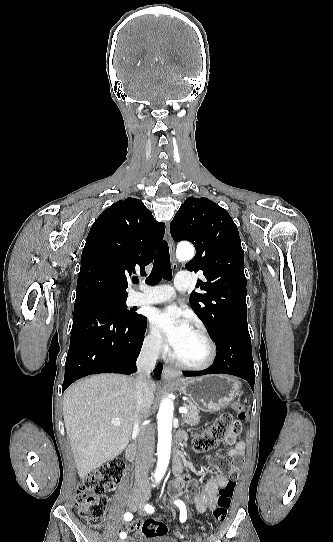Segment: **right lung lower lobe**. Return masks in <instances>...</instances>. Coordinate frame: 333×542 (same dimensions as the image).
I'll use <instances>...</instances> for the list:
<instances>
[{"label":"right lung lower lobe","instance_id":"obj_1","mask_svg":"<svg viewBox=\"0 0 333 542\" xmlns=\"http://www.w3.org/2000/svg\"><path fill=\"white\" fill-rule=\"evenodd\" d=\"M94 262H103L108 253L102 249L90 253ZM147 318L128 320L115 315L94 298L75 300L70 347L65 363L62 391L74 381L90 374H131L137 370ZM162 364L154 376L159 379Z\"/></svg>","mask_w":333,"mask_h":542}]
</instances>
